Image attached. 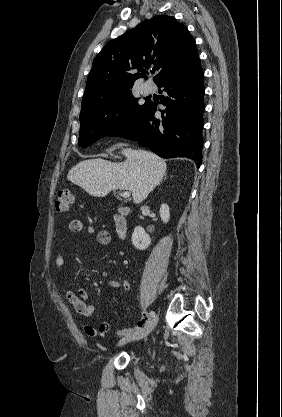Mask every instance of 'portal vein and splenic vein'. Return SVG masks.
<instances>
[{"mask_svg": "<svg viewBox=\"0 0 282 417\" xmlns=\"http://www.w3.org/2000/svg\"><path fill=\"white\" fill-rule=\"evenodd\" d=\"M119 194L120 196H123V198H129L130 196L129 190H124V192H121V190H119Z\"/></svg>", "mask_w": 282, "mask_h": 417, "instance_id": "obj_1", "label": "portal vein and splenic vein"}]
</instances>
